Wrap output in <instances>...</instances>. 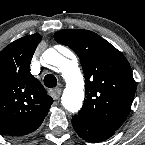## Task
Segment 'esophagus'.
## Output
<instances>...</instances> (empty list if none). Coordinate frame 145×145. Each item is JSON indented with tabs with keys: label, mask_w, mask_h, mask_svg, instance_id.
<instances>
[{
	"label": "esophagus",
	"mask_w": 145,
	"mask_h": 145,
	"mask_svg": "<svg viewBox=\"0 0 145 145\" xmlns=\"http://www.w3.org/2000/svg\"><path fill=\"white\" fill-rule=\"evenodd\" d=\"M61 93H62L61 88H57V89H54V90L50 91V94H51L52 98L55 99V100H58L60 98Z\"/></svg>",
	"instance_id": "1"
}]
</instances>
